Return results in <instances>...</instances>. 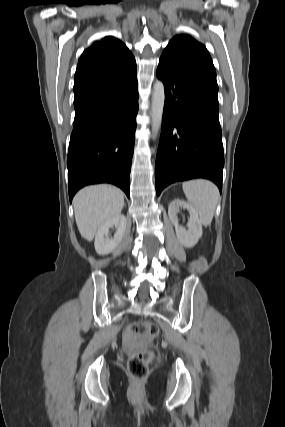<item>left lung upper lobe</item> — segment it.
I'll use <instances>...</instances> for the list:
<instances>
[{"label": "left lung upper lobe", "mask_w": 285, "mask_h": 427, "mask_svg": "<svg viewBox=\"0 0 285 427\" xmlns=\"http://www.w3.org/2000/svg\"><path fill=\"white\" fill-rule=\"evenodd\" d=\"M160 60L218 92L216 71L209 52L191 36L176 35L164 49Z\"/></svg>", "instance_id": "1"}]
</instances>
